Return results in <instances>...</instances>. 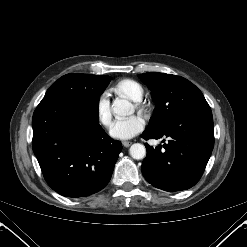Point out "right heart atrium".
<instances>
[{"label": "right heart atrium", "mask_w": 247, "mask_h": 247, "mask_svg": "<svg viewBox=\"0 0 247 247\" xmlns=\"http://www.w3.org/2000/svg\"><path fill=\"white\" fill-rule=\"evenodd\" d=\"M96 114L99 123L104 127H109L112 123V112L110 97L107 93L100 95L96 105Z\"/></svg>", "instance_id": "d8ad5b80"}]
</instances>
